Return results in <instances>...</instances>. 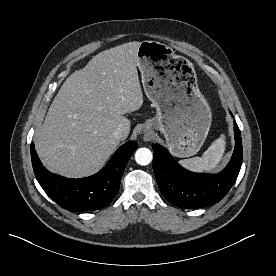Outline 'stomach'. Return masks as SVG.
Here are the masks:
<instances>
[{"mask_svg":"<svg viewBox=\"0 0 276 276\" xmlns=\"http://www.w3.org/2000/svg\"><path fill=\"white\" fill-rule=\"evenodd\" d=\"M136 65L145 94L157 110L153 126L164 134L170 153L179 158L195 155L207 137L212 115L198 88L194 65L157 41L140 43Z\"/></svg>","mask_w":276,"mask_h":276,"instance_id":"1","label":"stomach"}]
</instances>
